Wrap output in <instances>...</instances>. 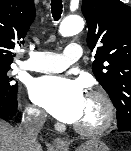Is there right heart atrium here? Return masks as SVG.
<instances>
[{
    "instance_id": "obj_1",
    "label": "right heart atrium",
    "mask_w": 131,
    "mask_h": 151,
    "mask_svg": "<svg viewBox=\"0 0 131 151\" xmlns=\"http://www.w3.org/2000/svg\"><path fill=\"white\" fill-rule=\"evenodd\" d=\"M27 116L32 119L39 120L42 117V113L39 109L34 106L28 105L25 109Z\"/></svg>"
}]
</instances>
